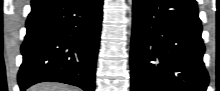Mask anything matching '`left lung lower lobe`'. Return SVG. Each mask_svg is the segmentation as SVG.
Wrapping results in <instances>:
<instances>
[{"label":"left lung lower lobe","instance_id":"left-lung-lower-lobe-1","mask_svg":"<svg viewBox=\"0 0 220 91\" xmlns=\"http://www.w3.org/2000/svg\"><path fill=\"white\" fill-rule=\"evenodd\" d=\"M195 0H134L131 91H206Z\"/></svg>","mask_w":220,"mask_h":91}]
</instances>
